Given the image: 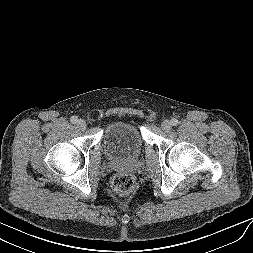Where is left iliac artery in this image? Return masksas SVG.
<instances>
[{
    "label": "left iliac artery",
    "instance_id": "1",
    "mask_svg": "<svg viewBox=\"0 0 253 253\" xmlns=\"http://www.w3.org/2000/svg\"><path fill=\"white\" fill-rule=\"evenodd\" d=\"M178 124V120L173 118L171 119V125L176 126Z\"/></svg>",
    "mask_w": 253,
    "mask_h": 253
}]
</instances>
